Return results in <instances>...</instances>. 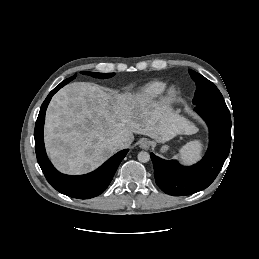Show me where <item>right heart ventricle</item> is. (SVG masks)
Instances as JSON below:
<instances>
[{
	"label": "right heart ventricle",
	"mask_w": 259,
	"mask_h": 259,
	"mask_svg": "<svg viewBox=\"0 0 259 259\" xmlns=\"http://www.w3.org/2000/svg\"><path fill=\"white\" fill-rule=\"evenodd\" d=\"M166 89V83L161 80H152L143 85L136 93V102L140 105H149L158 100Z\"/></svg>",
	"instance_id": "obj_1"
}]
</instances>
